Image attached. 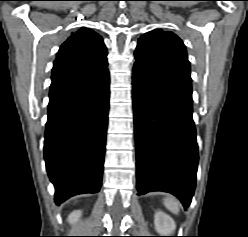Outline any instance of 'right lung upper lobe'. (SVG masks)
Wrapping results in <instances>:
<instances>
[{"instance_id":"obj_1","label":"right lung upper lobe","mask_w":248,"mask_h":237,"mask_svg":"<svg viewBox=\"0 0 248 237\" xmlns=\"http://www.w3.org/2000/svg\"><path fill=\"white\" fill-rule=\"evenodd\" d=\"M107 50L102 38L89 28H81L62 44L52 69V82L91 74L107 66Z\"/></svg>"}]
</instances>
